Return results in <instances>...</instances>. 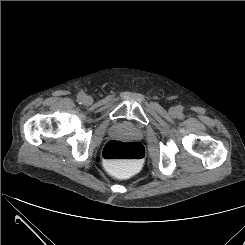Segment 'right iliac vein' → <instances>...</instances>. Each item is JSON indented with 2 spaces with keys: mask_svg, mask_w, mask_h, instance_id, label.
I'll return each instance as SVG.
<instances>
[{
  "mask_svg": "<svg viewBox=\"0 0 245 245\" xmlns=\"http://www.w3.org/2000/svg\"><path fill=\"white\" fill-rule=\"evenodd\" d=\"M86 104H90L92 102V98L90 96H84L83 100Z\"/></svg>",
  "mask_w": 245,
  "mask_h": 245,
  "instance_id": "right-iliac-vein-1",
  "label": "right iliac vein"
}]
</instances>
